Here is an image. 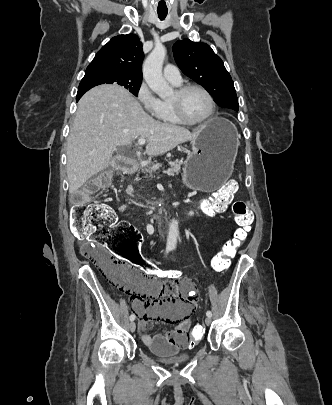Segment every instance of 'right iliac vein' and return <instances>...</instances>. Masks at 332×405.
<instances>
[{
    "label": "right iliac vein",
    "mask_w": 332,
    "mask_h": 405,
    "mask_svg": "<svg viewBox=\"0 0 332 405\" xmlns=\"http://www.w3.org/2000/svg\"><path fill=\"white\" fill-rule=\"evenodd\" d=\"M135 329H136V324H135V322H130L129 323V330L131 331V332H134L135 331Z\"/></svg>",
    "instance_id": "obj_1"
}]
</instances>
